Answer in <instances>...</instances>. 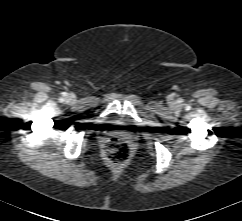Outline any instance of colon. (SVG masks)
Masks as SVG:
<instances>
[{"label": "colon", "mask_w": 242, "mask_h": 221, "mask_svg": "<svg viewBox=\"0 0 242 221\" xmlns=\"http://www.w3.org/2000/svg\"><path fill=\"white\" fill-rule=\"evenodd\" d=\"M107 159L113 164L125 163L131 155V148L128 142L110 140L105 147Z\"/></svg>", "instance_id": "1"}]
</instances>
